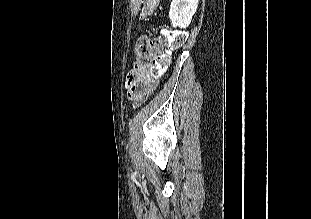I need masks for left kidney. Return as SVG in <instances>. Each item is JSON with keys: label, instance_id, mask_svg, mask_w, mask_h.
<instances>
[{"label": "left kidney", "instance_id": "5707ae66", "mask_svg": "<svg viewBox=\"0 0 311 219\" xmlns=\"http://www.w3.org/2000/svg\"><path fill=\"white\" fill-rule=\"evenodd\" d=\"M199 0H172L169 18L173 27L186 28L196 13Z\"/></svg>", "mask_w": 311, "mask_h": 219}]
</instances>
